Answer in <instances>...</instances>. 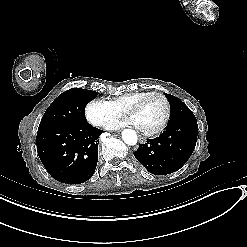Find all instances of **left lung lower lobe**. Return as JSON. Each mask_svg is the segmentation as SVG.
I'll list each match as a JSON object with an SVG mask.
<instances>
[{
    "mask_svg": "<svg viewBox=\"0 0 247 247\" xmlns=\"http://www.w3.org/2000/svg\"><path fill=\"white\" fill-rule=\"evenodd\" d=\"M197 120L169 123L155 139H147L134 152L136 159L152 174L165 175L179 170L191 156L197 141Z\"/></svg>",
    "mask_w": 247,
    "mask_h": 247,
    "instance_id": "obj_1",
    "label": "left lung lower lobe"
}]
</instances>
